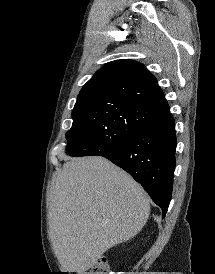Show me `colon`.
I'll list each match as a JSON object with an SVG mask.
<instances>
[{"mask_svg":"<svg viewBox=\"0 0 215 274\" xmlns=\"http://www.w3.org/2000/svg\"><path fill=\"white\" fill-rule=\"evenodd\" d=\"M109 263L106 258L102 257L95 262L87 274H108Z\"/></svg>","mask_w":215,"mask_h":274,"instance_id":"5ec220e1","label":"colon"}]
</instances>
